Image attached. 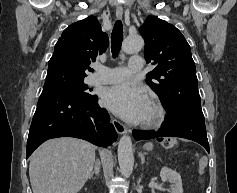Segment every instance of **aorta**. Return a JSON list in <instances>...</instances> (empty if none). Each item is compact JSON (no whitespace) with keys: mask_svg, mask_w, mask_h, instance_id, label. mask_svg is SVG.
I'll return each instance as SVG.
<instances>
[{"mask_svg":"<svg viewBox=\"0 0 237 193\" xmlns=\"http://www.w3.org/2000/svg\"><path fill=\"white\" fill-rule=\"evenodd\" d=\"M144 41L138 34L128 35L123 42L122 49L127 54H133L142 49ZM118 161L120 172L124 177H129L133 172L134 157L132 140L129 135L124 134L118 144Z\"/></svg>","mask_w":237,"mask_h":193,"instance_id":"aorta-1","label":"aorta"}]
</instances>
